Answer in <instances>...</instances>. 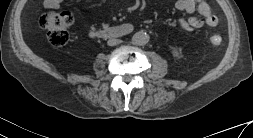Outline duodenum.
Wrapping results in <instances>:
<instances>
[{
    "label": "duodenum",
    "mask_w": 253,
    "mask_h": 138,
    "mask_svg": "<svg viewBox=\"0 0 253 138\" xmlns=\"http://www.w3.org/2000/svg\"><path fill=\"white\" fill-rule=\"evenodd\" d=\"M130 28L127 26H119L114 28H106L100 32L101 35L108 38H117L128 34Z\"/></svg>",
    "instance_id": "410a0bca"
}]
</instances>
